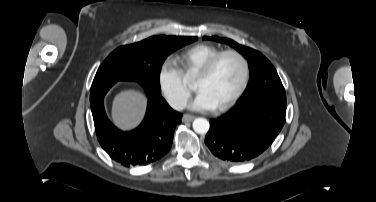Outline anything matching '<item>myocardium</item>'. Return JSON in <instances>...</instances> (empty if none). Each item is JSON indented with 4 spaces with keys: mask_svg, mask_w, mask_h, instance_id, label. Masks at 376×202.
<instances>
[{
    "mask_svg": "<svg viewBox=\"0 0 376 202\" xmlns=\"http://www.w3.org/2000/svg\"><path fill=\"white\" fill-rule=\"evenodd\" d=\"M224 56H233L240 62L241 67H242V78H241L240 85L235 91V93L224 104L215 108V110L218 112L225 111L235 104V102L240 98V96L245 91L249 82V77H250V65H249L247 58L239 51L229 49V50L220 51L219 53L211 57L197 72L196 78L203 79V78L208 77L212 73L218 61Z\"/></svg>",
    "mask_w": 376,
    "mask_h": 202,
    "instance_id": "obj_1",
    "label": "myocardium"
}]
</instances>
